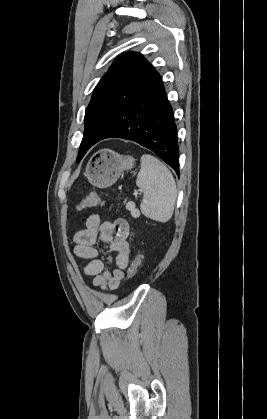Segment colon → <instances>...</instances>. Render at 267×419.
Returning <instances> with one entry per match:
<instances>
[{
    "mask_svg": "<svg viewBox=\"0 0 267 419\" xmlns=\"http://www.w3.org/2000/svg\"><path fill=\"white\" fill-rule=\"evenodd\" d=\"M99 205H104V200L97 194H90L84 199L80 201L78 204V210H82L84 208L95 207ZM142 255L137 254L134 260L132 261L130 267L128 268V277L133 278L141 265Z\"/></svg>",
    "mask_w": 267,
    "mask_h": 419,
    "instance_id": "colon-1",
    "label": "colon"
}]
</instances>
